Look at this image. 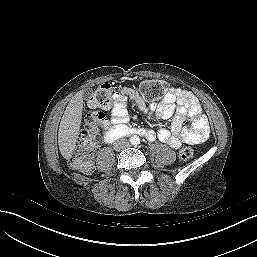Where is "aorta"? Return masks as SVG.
I'll list each match as a JSON object with an SVG mask.
<instances>
[{
	"label": "aorta",
	"mask_w": 257,
	"mask_h": 257,
	"mask_svg": "<svg viewBox=\"0 0 257 257\" xmlns=\"http://www.w3.org/2000/svg\"><path fill=\"white\" fill-rule=\"evenodd\" d=\"M130 142L134 145L138 144L140 142V138L137 135H134L130 138Z\"/></svg>",
	"instance_id": "obj_1"
}]
</instances>
